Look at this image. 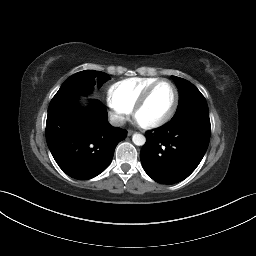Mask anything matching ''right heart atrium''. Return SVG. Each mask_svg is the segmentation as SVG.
<instances>
[{
  "mask_svg": "<svg viewBox=\"0 0 256 256\" xmlns=\"http://www.w3.org/2000/svg\"><path fill=\"white\" fill-rule=\"evenodd\" d=\"M109 107H110V111H109L110 117L114 121V123L118 125L123 124L131 114V110L122 106L112 104L111 102H109Z\"/></svg>",
  "mask_w": 256,
  "mask_h": 256,
  "instance_id": "right-heart-atrium-1",
  "label": "right heart atrium"
}]
</instances>
